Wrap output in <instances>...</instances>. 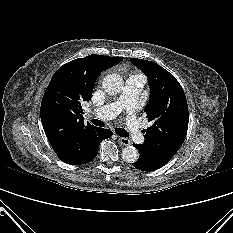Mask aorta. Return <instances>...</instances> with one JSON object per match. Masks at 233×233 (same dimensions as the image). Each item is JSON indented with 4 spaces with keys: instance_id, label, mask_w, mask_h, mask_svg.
Wrapping results in <instances>:
<instances>
[{
    "instance_id": "1",
    "label": "aorta",
    "mask_w": 233,
    "mask_h": 233,
    "mask_svg": "<svg viewBox=\"0 0 233 233\" xmlns=\"http://www.w3.org/2000/svg\"><path fill=\"white\" fill-rule=\"evenodd\" d=\"M124 86L123 78L118 74H109L102 81V88L110 95L121 92ZM122 157L128 163L136 162L139 158L138 150L133 146L123 148Z\"/></svg>"
}]
</instances>
